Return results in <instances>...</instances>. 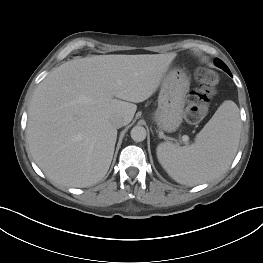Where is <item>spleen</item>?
<instances>
[{
  "label": "spleen",
  "instance_id": "obj_1",
  "mask_svg": "<svg viewBox=\"0 0 263 263\" xmlns=\"http://www.w3.org/2000/svg\"><path fill=\"white\" fill-rule=\"evenodd\" d=\"M240 132L239 108L227 100L197 134L194 144L181 147L162 142L157 146V157L176 182L197 185L228 169L238 149Z\"/></svg>",
  "mask_w": 263,
  "mask_h": 263
}]
</instances>
